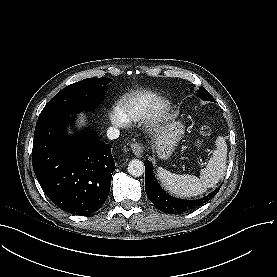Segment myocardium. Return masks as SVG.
I'll use <instances>...</instances> for the list:
<instances>
[{"label": "myocardium", "mask_w": 277, "mask_h": 277, "mask_svg": "<svg viewBox=\"0 0 277 277\" xmlns=\"http://www.w3.org/2000/svg\"><path fill=\"white\" fill-rule=\"evenodd\" d=\"M169 111H170L169 102L166 99H159L153 104L150 110L149 120L152 122L159 121L162 118H164L166 115H168Z\"/></svg>", "instance_id": "myocardium-1"}]
</instances>
